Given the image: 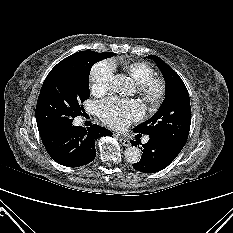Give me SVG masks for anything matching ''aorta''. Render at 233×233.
Masks as SVG:
<instances>
[{
    "mask_svg": "<svg viewBox=\"0 0 233 233\" xmlns=\"http://www.w3.org/2000/svg\"><path fill=\"white\" fill-rule=\"evenodd\" d=\"M112 89L116 93L128 95L133 90V82L123 74H116L112 79ZM124 157L128 163L135 164L140 161L141 151L135 146H130L124 151Z\"/></svg>",
    "mask_w": 233,
    "mask_h": 233,
    "instance_id": "aorta-1",
    "label": "aorta"
}]
</instances>
